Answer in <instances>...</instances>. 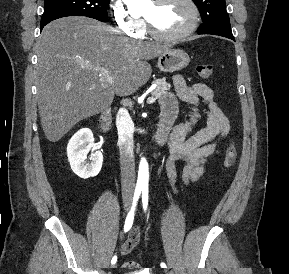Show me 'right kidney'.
<instances>
[{"label":"right kidney","instance_id":"obj_1","mask_svg":"<svg viewBox=\"0 0 289 274\" xmlns=\"http://www.w3.org/2000/svg\"><path fill=\"white\" fill-rule=\"evenodd\" d=\"M92 148L90 163L86 162L87 153ZM67 156L72 171L80 178L87 179L99 174L103 155L94 144L93 133L89 128L77 131L67 145Z\"/></svg>","mask_w":289,"mask_h":274}]
</instances>
